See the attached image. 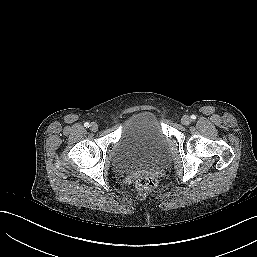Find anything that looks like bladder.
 <instances>
[{
	"instance_id": "obj_1",
	"label": "bladder",
	"mask_w": 257,
	"mask_h": 257,
	"mask_svg": "<svg viewBox=\"0 0 257 257\" xmlns=\"http://www.w3.org/2000/svg\"><path fill=\"white\" fill-rule=\"evenodd\" d=\"M117 145L124 150L128 169L160 167L168 157L167 139L151 111L136 113Z\"/></svg>"
}]
</instances>
